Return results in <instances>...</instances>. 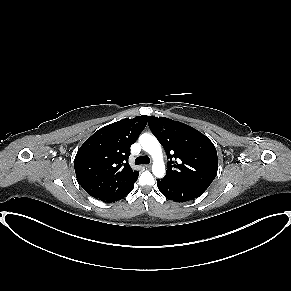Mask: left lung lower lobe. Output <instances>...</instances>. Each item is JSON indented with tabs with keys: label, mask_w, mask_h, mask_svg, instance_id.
Instances as JSON below:
<instances>
[{
	"label": "left lung lower lobe",
	"mask_w": 291,
	"mask_h": 291,
	"mask_svg": "<svg viewBox=\"0 0 291 291\" xmlns=\"http://www.w3.org/2000/svg\"><path fill=\"white\" fill-rule=\"evenodd\" d=\"M159 191L169 200L186 202L193 200L204 193L205 190L183 185L169 178L157 180Z\"/></svg>",
	"instance_id": "obj_1"
}]
</instances>
